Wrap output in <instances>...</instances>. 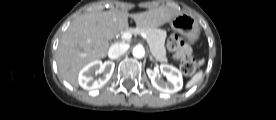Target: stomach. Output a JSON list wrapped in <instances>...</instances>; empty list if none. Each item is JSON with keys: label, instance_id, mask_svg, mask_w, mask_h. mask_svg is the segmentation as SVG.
Wrapping results in <instances>:
<instances>
[{"label": "stomach", "instance_id": "0dacf381", "mask_svg": "<svg viewBox=\"0 0 276 120\" xmlns=\"http://www.w3.org/2000/svg\"><path fill=\"white\" fill-rule=\"evenodd\" d=\"M170 24L175 31L186 36H194L199 33L197 21L188 13L181 12L170 21Z\"/></svg>", "mask_w": 276, "mask_h": 120}]
</instances>
